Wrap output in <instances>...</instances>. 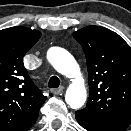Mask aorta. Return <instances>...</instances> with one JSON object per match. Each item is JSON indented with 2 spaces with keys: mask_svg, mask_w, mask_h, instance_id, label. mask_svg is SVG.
I'll return each instance as SVG.
<instances>
[{
  "mask_svg": "<svg viewBox=\"0 0 131 131\" xmlns=\"http://www.w3.org/2000/svg\"><path fill=\"white\" fill-rule=\"evenodd\" d=\"M47 58L59 73L72 79L66 91V103L73 109L83 106L87 93L84 81L80 77L79 66L73 56L62 48L52 47L48 50Z\"/></svg>",
  "mask_w": 131,
  "mask_h": 131,
  "instance_id": "obj_1",
  "label": "aorta"
}]
</instances>
